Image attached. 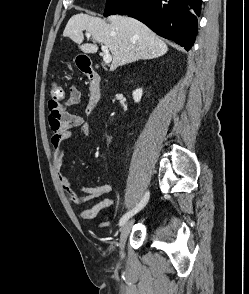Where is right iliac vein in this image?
Wrapping results in <instances>:
<instances>
[{"instance_id":"1","label":"right iliac vein","mask_w":249,"mask_h":294,"mask_svg":"<svg viewBox=\"0 0 249 294\" xmlns=\"http://www.w3.org/2000/svg\"><path fill=\"white\" fill-rule=\"evenodd\" d=\"M133 225V220H130L128 222H125L121 228V234H120V255L121 258H124V247L127 240V237L130 233L131 227Z\"/></svg>"}]
</instances>
